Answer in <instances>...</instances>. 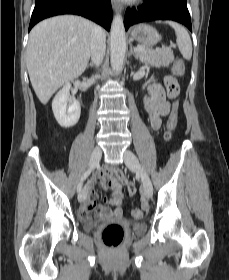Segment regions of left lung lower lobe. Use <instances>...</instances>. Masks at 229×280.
<instances>
[{
    "label": "left lung lower lobe",
    "mask_w": 229,
    "mask_h": 280,
    "mask_svg": "<svg viewBox=\"0 0 229 280\" xmlns=\"http://www.w3.org/2000/svg\"><path fill=\"white\" fill-rule=\"evenodd\" d=\"M153 20H173L192 31L187 0H145L138 10H126L124 25L127 30L134 24Z\"/></svg>",
    "instance_id": "1"
}]
</instances>
